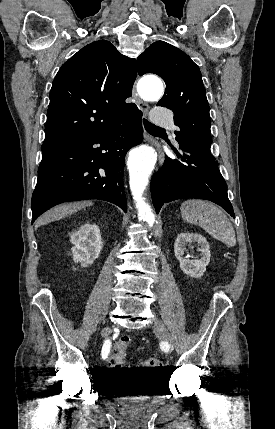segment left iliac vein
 Returning <instances> with one entry per match:
<instances>
[{"label":"left iliac vein","mask_w":275,"mask_h":429,"mask_svg":"<svg viewBox=\"0 0 275 429\" xmlns=\"http://www.w3.org/2000/svg\"><path fill=\"white\" fill-rule=\"evenodd\" d=\"M153 330L155 334L165 343L166 347L169 350H173L174 340L160 319H154Z\"/></svg>","instance_id":"4c4485c4"}]
</instances>
